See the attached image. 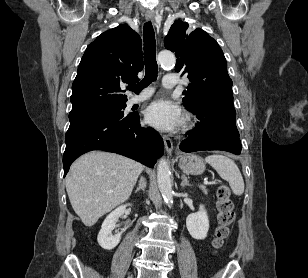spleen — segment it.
<instances>
[{"label":"spleen","instance_id":"spleen-1","mask_svg":"<svg viewBox=\"0 0 308 278\" xmlns=\"http://www.w3.org/2000/svg\"><path fill=\"white\" fill-rule=\"evenodd\" d=\"M205 161L217 171L222 179L229 182L235 195L243 194L244 180L238 166L232 159L221 154H213L207 156Z\"/></svg>","mask_w":308,"mask_h":278}]
</instances>
